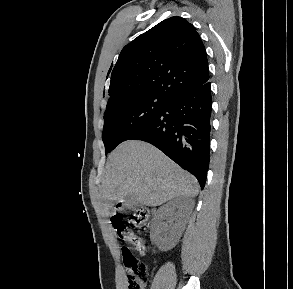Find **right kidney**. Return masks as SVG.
Instances as JSON below:
<instances>
[{
	"instance_id": "ca27d5eb",
	"label": "right kidney",
	"mask_w": 293,
	"mask_h": 289,
	"mask_svg": "<svg viewBox=\"0 0 293 289\" xmlns=\"http://www.w3.org/2000/svg\"><path fill=\"white\" fill-rule=\"evenodd\" d=\"M183 199L178 197L160 207L154 217V227L161 234L160 243L166 248L173 247L180 239L186 225ZM169 218V225L163 220Z\"/></svg>"
}]
</instances>
